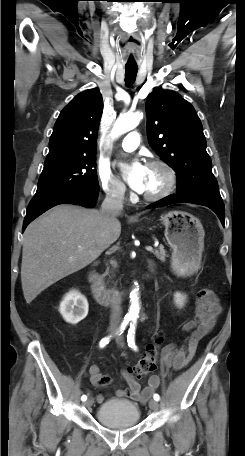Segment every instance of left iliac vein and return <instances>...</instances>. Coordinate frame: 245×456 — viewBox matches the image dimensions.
<instances>
[{"label":"left iliac vein","instance_id":"left-iliac-vein-1","mask_svg":"<svg viewBox=\"0 0 245 456\" xmlns=\"http://www.w3.org/2000/svg\"><path fill=\"white\" fill-rule=\"evenodd\" d=\"M116 342L117 344L120 346V347H123L124 346V342H123V339L121 336H117L116 337ZM149 407L152 409V410H158L159 408V404L156 400H150L149 402Z\"/></svg>","mask_w":245,"mask_h":456}]
</instances>
